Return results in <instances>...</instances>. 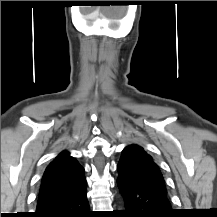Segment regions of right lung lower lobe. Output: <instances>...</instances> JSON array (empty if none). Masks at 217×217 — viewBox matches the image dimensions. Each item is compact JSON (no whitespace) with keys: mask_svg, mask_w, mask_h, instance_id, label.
<instances>
[{"mask_svg":"<svg viewBox=\"0 0 217 217\" xmlns=\"http://www.w3.org/2000/svg\"><path fill=\"white\" fill-rule=\"evenodd\" d=\"M31 217H92L86 190L50 204L37 207Z\"/></svg>","mask_w":217,"mask_h":217,"instance_id":"1","label":"right lung lower lobe"}]
</instances>
